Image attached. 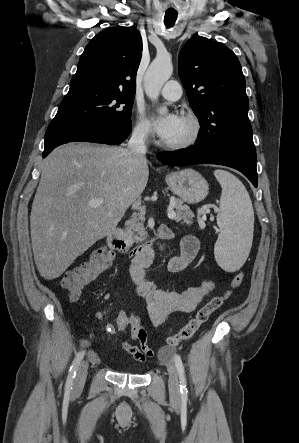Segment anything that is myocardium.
I'll list each match as a JSON object with an SVG mask.
<instances>
[{
  "instance_id": "1",
  "label": "myocardium",
  "mask_w": 299,
  "mask_h": 443,
  "mask_svg": "<svg viewBox=\"0 0 299 443\" xmlns=\"http://www.w3.org/2000/svg\"><path fill=\"white\" fill-rule=\"evenodd\" d=\"M181 119L187 122L190 126V132L188 136L180 141H161V146L171 151H183L190 149L198 144L202 137L203 127L200 119L192 113H185L181 116Z\"/></svg>"
}]
</instances>
